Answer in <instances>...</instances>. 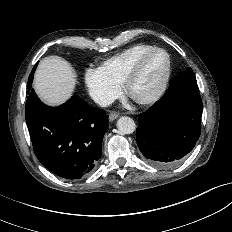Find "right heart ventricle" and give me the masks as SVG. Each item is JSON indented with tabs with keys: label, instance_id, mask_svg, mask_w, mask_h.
Listing matches in <instances>:
<instances>
[{
	"label": "right heart ventricle",
	"instance_id": "obj_1",
	"mask_svg": "<svg viewBox=\"0 0 232 232\" xmlns=\"http://www.w3.org/2000/svg\"><path fill=\"white\" fill-rule=\"evenodd\" d=\"M153 46L148 44L133 45L112 57L106 59L101 69L118 84H123L125 76L131 68L134 61L144 52L152 49Z\"/></svg>",
	"mask_w": 232,
	"mask_h": 232
}]
</instances>
